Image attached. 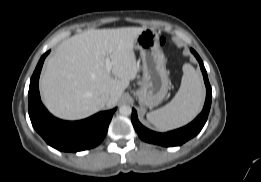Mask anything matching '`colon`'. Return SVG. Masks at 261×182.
<instances>
[{
	"label": "colon",
	"mask_w": 261,
	"mask_h": 182,
	"mask_svg": "<svg viewBox=\"0 0 261 182\" xmlns=\"http://www.w3.org/2000/svg\"><path fill=\"white\" fill-rule=\"evenodd\" d=\"M160 43L162 46H165L167 44V40L165 38H161Z\"/></svg>",
	"instance_id": "obj_1"
}]
</instances>
